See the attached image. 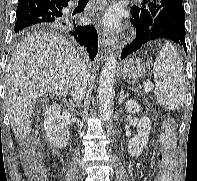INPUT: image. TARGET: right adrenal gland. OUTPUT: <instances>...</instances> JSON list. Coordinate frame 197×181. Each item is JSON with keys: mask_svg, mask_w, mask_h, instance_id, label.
I'll return each mask as SVG.
<instances>
[{"mask_svg": "<svg viewBox=\"0 0 197 181\" xmlns=\"http://www.w3.org/2000/svg\"><path fill=\"white\" fill-rule=\"evenodd\" d=\"M73 105L72 100L69 101V106L71 107Z\"/></svg>", "mask_w": 197, "mask_h": 181, "instance_id": "2a0ac1e0", "label": "right adrenal gland"}]
</instances>
